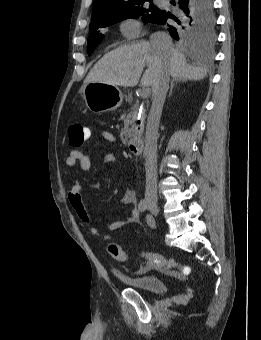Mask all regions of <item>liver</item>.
Here are the masks:
<instances>
[{
  "instance_id": "1",
  "label": "liver",
  "mask_w": 261,
  "mask_h": 340,
  "mask_svg": "<svg viewBox=\"0 0 261 340\" xmlns=\"http://www.w3.org/2000/svg\"><path fill=\"white\" fill-rule=\"evenodd\" d=\"M141 85L152 87L167 73L174 80H201L207 75L205 68L188 65L184 54L173 48L160 56L147 41L124 45L105 54L90 70L84 85L100 82L115 86L134 87L138 84L144 67Z\"/></svg>"
}]
</instances>
